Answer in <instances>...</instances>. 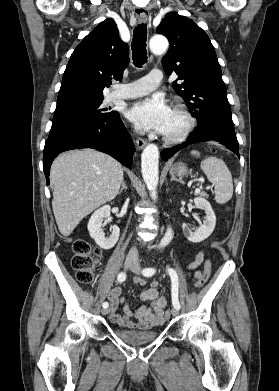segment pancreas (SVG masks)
I'll use <instances>...</instances> for the list:
<instances>
[{"label":"pancreas","mask_w":279,"mask_h":391,"mask_svg":"<svg viewBox=\"0 0 279 391\" xmlns=\"http://www.w3.org/2000/svg\"><path fill=\"white\" fill-rule=\"evenodd\" d=\"M199 195L202 197L208 198V194L205 192H201V193H199Z\"/></svg>","instance_id":"cf45deb5"}]
</instances>
